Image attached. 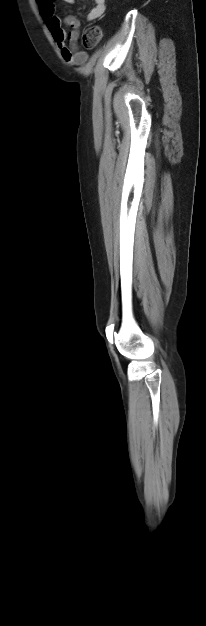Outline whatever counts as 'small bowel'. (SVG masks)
<instances>
[{"mask_svg": "<svg viewBox=\"0 0 206 626\" xmlns=\"http://www.w3.org/2000/svg\"><path fill=\"white\" fill-rule=\"evenodd\" d=\"M68 4L75 3L76 0H63ZM95 5L87 15V20L100 19L106 10V0H94ZM40 12L46 25L59 48L64 61L70 65H83L88 59L87 52L78 49L76 41L78 38L79 20L68 15L61 20L55 13L54 0H38ZM64 25L71 28L67 32Z\"/></svg>", "mask_w": 206, "mask_h": 626, "instance_id": "c3829d8e", "label": "small bowel"}]
</instances>
